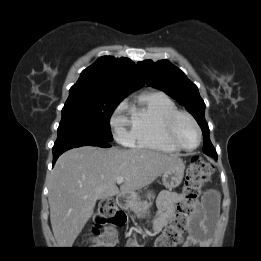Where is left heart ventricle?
<instances>
[{
    "label": "left heart ventricle",
    "mask_w": 261,
    "mask_h": 261,
    "mask_svg": "<svg viewBox=\"0 0 261 261\" xmlns=\"http://www.w3.org/2000/svg\"><path fill=\"white\" fill-rule=\"evenodd\" d=\"M177 137L185 147H194L198 142V133L194 125L186 118H182L177 126Z\"/></svg>",
    "instance_id": "left-heart-ventricle-1"
}]
</instances>
